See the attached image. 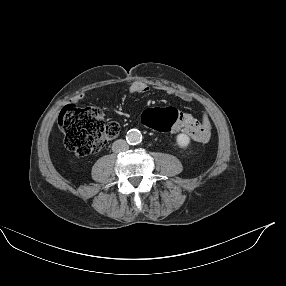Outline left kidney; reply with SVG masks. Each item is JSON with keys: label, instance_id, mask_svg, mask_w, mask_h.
Returning <instances> with one entry per match:
<instances>
[{"label": "left kidney", "instance_id": "1", "mask_svg": "<svg viewBox=\"0 0 286 286\" xmlns=\"http://www.w3.org/2000/svg\"><path fill=\"white\" fill-rule=\"evenodd\" d=\"M176 142L180 148H187L190 144V138L186 134H178Z\"/></svg>", "mask_w": 286, "mask_h": 286}]
</instances>
